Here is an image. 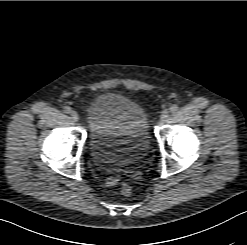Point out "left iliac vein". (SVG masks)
I'll return each instance as SVG.
<instances>
[{"label": "left iliac vein", "instance_id": "obj_1", "mask_svg": "<svg viewBox=\"0 0 247 245\" xmlns=\"http://www.w3.org/2000/svg\"><path fill=\"white\" fill-rule=\"evenodd\" d=\"M168 116H169V111L168 110L162 111L161 116H160V121L161 122L166 121V119L168 118Z\"/></svg>", "mask_w": 247, "mask_h": 245}]
</instances>
